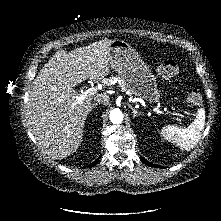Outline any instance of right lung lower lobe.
I'll list each match as a JSON object with an SVG mask.
<instances>
[{
  "label": "right lung lower lobe",
  "mask_w": 221,
  "mask_h": 221,
  "mask_svg": "<svg viewBox=\"0 0 221 221\" xmlns=\"http://www.w3.org/2000/svg\"><path fill=\"white\" fill-rule=\"evenodd\" d=\"M100 159V157L99 158H97V160L96 161H94L91 165H89L90 167L91 166H94L95 164H97V162H98V160Z\"/></svg>",
  "instance_id": "1"
}]
</instances>
